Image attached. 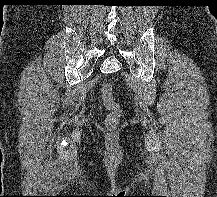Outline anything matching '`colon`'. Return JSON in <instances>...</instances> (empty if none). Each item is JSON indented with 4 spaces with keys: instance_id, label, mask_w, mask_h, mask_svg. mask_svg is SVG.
<instances>
[{
    "instance_id": "1",
    "label": "colon",
    "mask_w": 217,
    "mask_h": 197,
    "mask_svg": "<svg viewBox=\"0 0 217 197\" xmlns=\"http://www.w3.org/2000/svg\"><path fill=\"white\" fill-rule=\"evenodd\" d=\"M101 96L104 106L112 110L114 112V115L110 116L107 120V124L109 126H113L116 122L115 114L119 112V105L114 99L113 96V87L110 83H104L101 87Z\"/></svg>"
}]
</instances>
